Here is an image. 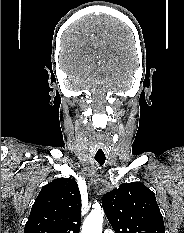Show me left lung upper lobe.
<instances>
[{
    "instance_id": "1",
    "label": "left lung upper lobe",
    "mask_w": 184,
    "mask_h": 233,
    "mask_svg": "<svg viewBox=\"0 0 184 233\" xmlns=\"http://www.w3.org/2000/svg\"><path fill=\"white\" fill-rule=\"evenodd\" d=\"M102 206L116 233H165L155 194L141 182L106 193Z\"/></svg>"
}]
</instances>
